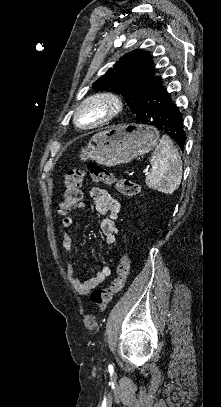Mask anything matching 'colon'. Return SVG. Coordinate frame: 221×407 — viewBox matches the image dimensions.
<instances>
[{
  "mask_svg": "<svg viewBox=\"0 0 221 407\" xmlns=\"http://www.w3.org/2000/svg\"><path fill=\"white\" fill-rule=\"evenodd\" d=\"M88 175L94 182L105 185H113L125 196H135L140 192V186L130 179H117L112 172L96 162H89L85 169L76 168L67 172L63 198L58 211L61 214L68 213L82 199V184L84 177ZM131 271V259L124 254L117 265V275L107 288H96L91 293L93 303L98 307L99 313H103L112 298L122 292Z\"/></svg>",
  "mask_w": 221,
  "mask_h": 407,
  "instance_id": "obj_1",
  "label": "colon"
}]
</instances>
